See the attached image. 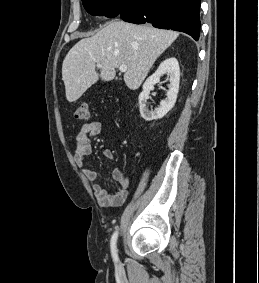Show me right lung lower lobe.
Returning a JSON list of instances; mask_svg holds the SVG:
<instances>
[{
	"label": "right lung lower lobe",
	"instance_id": "obj_1",
	"mask_svg": "<svg viewBox=\"0 0 259 283\" xmlns=\"http://www.w3.org/2000/svg\"><path fill=\"white\" fill-rule=\"evenodd\" d=\"M199 9L200 0H118L115 15L131 23L185 32L197 41Z\"/></svg>",
	"mask_w": 259,
	"mask_h": 283
}]
</instances>
